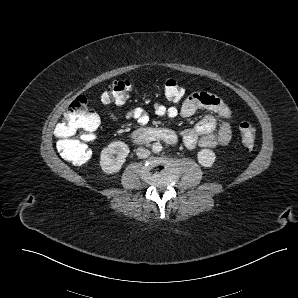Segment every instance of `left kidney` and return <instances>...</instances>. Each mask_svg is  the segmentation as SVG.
<instances>
[{
	"label": "left kidney",
	"mask_w": 298,
	"mask_h": 298,
	"mask_svg": "<svg viewBox=\"0 0 298 298\" xmlns=\"http://www.w3.org/2000/svg\"><path fill=\"white\" fill-rule=\"evenodd\" d=\"M198 159H199V162L203 166L208 167V166H211L212 163L214 162V160H215V154L211 150L204 149V150H201L198 153Z\"/></svg>",
	"instance_id": "left-kidney-1"
}]
</instances>
